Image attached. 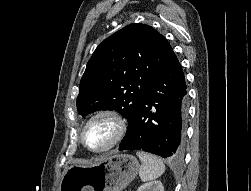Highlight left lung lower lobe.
<instances>
[{
  "instance_id": "0a47b994",
  "label": "left lung lower lobe",
  "mask_w": 251,
  "mask_h": 191,
  "mask_svg": "<svg viewBox=\"0 0 251 191\" xmlns=\"http://www.w3.org/2000/svg\"><path fill=\"white\" fill-rule=\"evenodd\" d=\"M187 86L172 51L151 82L119 150H143L161 157H179L184 149Z\"/></svg>"
}]
</instances>
